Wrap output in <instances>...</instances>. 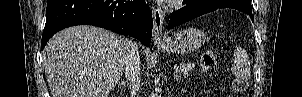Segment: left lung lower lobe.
<instances>
[{
  "label": "left lung lower lobe",
  "mask_w": 302,
  "mask_h": 97,
  "mask_svg": "<svg viewBox=\"0 0 302 97\" xmlns=\"http://www.w3.org/2000/svg\"><path fill=\"white\" fill-rule=\"evenodd\" d=\"M227 7L237 9L250 15L251 20L254 21L251 0H189L185 7L175 11L171 15L168 29L219 8Z\"/></svg>",
  "instance_id": "left-lung-lower-lobe-1"
}]
</instances>
